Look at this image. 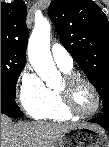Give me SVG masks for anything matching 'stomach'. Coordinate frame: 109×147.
Segmentation results:
<instances>
[{
  "instance_id": "1",
  "label": "stomach",
  "mask_w": 109,
  "mask_h": 147,
  "mask_svg": "<svg viewBox=\"0 0 109 147\" xmlns=\"http://www.w3.org/2000/svg\"><path fill=\"white\" fill-rule=\"evenodd\" d=\"M59 147H109V136L104 130L90 127L73 128L59 140Z\"/></svg>"
}]
</instances>
